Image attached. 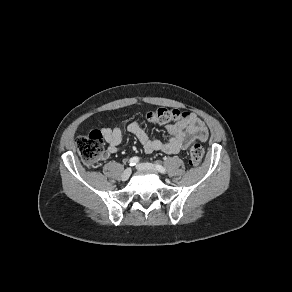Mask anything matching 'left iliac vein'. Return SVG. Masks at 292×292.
<instances>
[{
	"instance_id": "1",
	"label": "left iliac vein",
	"mask_w": 292,
	"mask_h": 292,
	"mask_svg": "<svg viewBox=\"0 0 292 292\" xmlns=\"http://www.w3.org/2000/svg\"><path fill=\"white\" fill-rule=\"evenodd\" d=\"M138 170H151L157 172L156 167L151 163H140L136 166Z\"/></svg>"
}]
</instances>
